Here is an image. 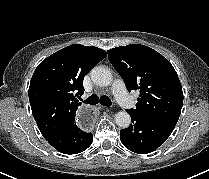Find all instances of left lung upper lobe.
Segmentation results:
<instances>
[{
    "label": "left lung upper lobe",
    "instance_id": "5c2ea615",
    "mask_svg": "<svg viewBox=\"0 0 209 179\" xmlns=\"http://www.w3.org/2000/svg\"><path fill=\"white\" fill-rule=\"evenodd\" d=\"M108 58L129 91L138 90L135 112L177 123L183 92L171 63L155 50L140 44L107 51Z\"/></svg>",
    "mask_w": 209,
    "mask_h": 179
}]
</instances>
